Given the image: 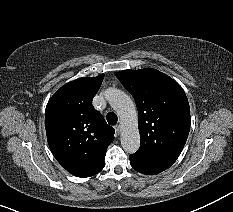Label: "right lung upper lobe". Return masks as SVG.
Masks as SVG:
<instances>
[{
    "instance_id": "obj_1",
    "label": "right lung upper lobe",
    "mask_w": 233,
    "mask_h": 212,
    "mask_svg": "<svg viewBox=\"0 0 233 212\" xmlns=\"http://www.w3.org/2000/svg\"><path fill=\"white\" fill-rule=\"evenodd\" d=\"M104 74L69 82L49 99L45 129L49 147L63 168L77 177H91L105 166L115 130L92 106Z\"/></svg>"
}]
</instances>
